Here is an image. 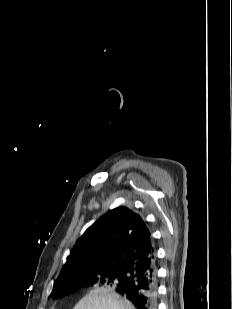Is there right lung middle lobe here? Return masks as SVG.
Listing matches in <instances>:
<instances>
[{"instance_id":"right-lung-middle-lobe-1","label":"right lung middle lobe","mask_w":232,"mask_h":309,"mask_svg":"<svg viewBox=\"0 0 232 309\" xmlns=\"http://www.w3.org/2000/svg\"><path fill=\"white\" fill-rule=\"evenodd\" d=\"M127 280L128 273L121 270L90 271L83 273L72 280L59 283L57 285L54 284V288L50 296L54 297L55 299L61 298L85 285L96 284L102 286H112L116 288L125 283Z\"/></svg>"}]
</instances>
